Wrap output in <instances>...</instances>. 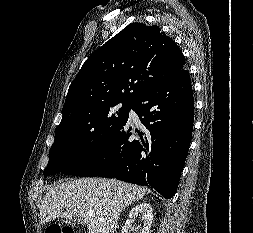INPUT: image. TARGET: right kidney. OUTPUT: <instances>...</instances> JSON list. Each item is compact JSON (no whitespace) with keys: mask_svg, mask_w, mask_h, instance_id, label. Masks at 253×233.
<instances>
[{"mask_svg":"<svg viewBox=\"0 0 253 233\" xmlns=\"http://www.w3.org/2000/svg\"><path fill=\"white\" fill-rule=\"evenodd\" d=\"M142 217L143 225L137 227V233H149L153 220L152 207L149 203H140L136 205L129 213V218L134 219L137 216Z\"/></svg>","mask_w":253,"mask_h":233,"instance_id":"ca27d5eb","label":"right kidney"}]
</instances>
